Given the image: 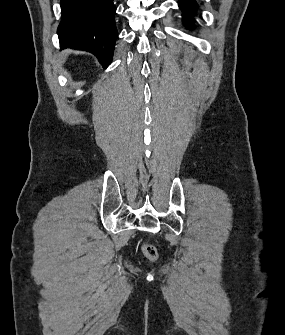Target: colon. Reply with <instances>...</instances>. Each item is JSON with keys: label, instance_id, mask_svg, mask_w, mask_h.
Wrapping results in <instances>:
<instances>
[{"label": "colon", "instance_id": "5ec220e1", "mask_svg": "<svg viewBox=\"0 0 285 335\" xmlns=\"http://www.w3.org/2000/svg\"><path fill=\"white\" fill-rule=\"evenodd\" d=\"M141 249L145 257L150 261H155L158 258V251L154 245L145 243Z\"/></svg>", "mask_w": 285, "mask_h": 335}]
</instances>
